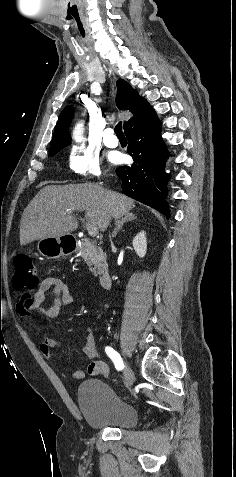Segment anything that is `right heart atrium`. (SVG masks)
<instances>
[{"instance_id": "obj_1", "label": "right heart atrium", "mask_w": 236, "mask_h": 477, "mask_svg": "<svg viewBox=\"0 0 236 477\" xmlns=\"http://www.w3.org/2000/svg\"><path fill=\"white\" fill-rule=\"evenodd\" d=\"M68 167L74 174L84 177L97 178L101 175L98 156L83 146H75L72 149L68 157Z\"/></svg>"}]
</instances>
